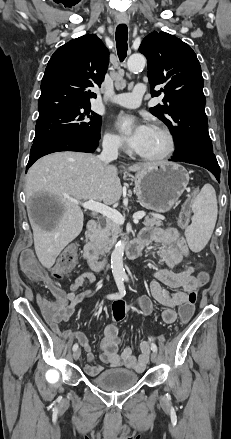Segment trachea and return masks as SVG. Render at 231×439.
I'll use <instances>...</instances> for the list:
<instances>
[{
    "label": "trachea",
    "mask_w": 231,
    "mask_h": 439,
    "mask_svg": "<svg viewBox=\"0 0 231 439\" xmlns=\"http://www.w3.org/2000/svg\"><path fill=\"white\" fill-rule=\"evenodd\" d=\"M128 28L125 24H120L116 28V47L120 61H123L127 56Z\"/></svg>",
    "instance_id": "1"
}]
</instances>
